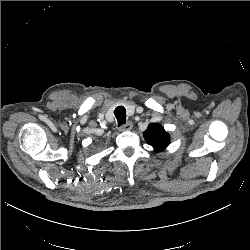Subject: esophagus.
Here are the masks:
<instances>
[{
	"label": "esophagus",
	"instance_id": "esophagus-1",
	"mask_svg": "<svg viewBox=\"0 0 250 250\" xmlns=\"http://www.w3.org/2000/svg\"><path fill=\"white\" fill-rule=\"evenodd\" d=\"M132 128H133L132 122H127L124 125L120 126L119 130L120 131H128V130H131Z\"/></svg>",
	"mask_w": 250,
	"mask_h": 250
}]
</instances>
